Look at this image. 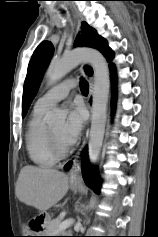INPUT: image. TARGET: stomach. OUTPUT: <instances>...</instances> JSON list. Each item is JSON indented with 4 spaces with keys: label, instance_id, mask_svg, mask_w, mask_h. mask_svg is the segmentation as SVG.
Segmentation results:
<instances>
[{
    "label": "stomach",
    "instance_id": "0dacf381",
    "mask_svg": "<svg viewBox=\"0 0 158 237\" xmlns=\"http://www.w3.org/2000/svg\"><path fill=\"white\" fill-rule=\"evenodd\" d=\"M70 187L72 188V190L76 191L77 188H78V182L71 180L70 181ZM32 233H33L32 234L33 236H43V231L41 229H38L36 231H32Z\"/></svg>",
    "mask_w": 158,
    "mask_h": 237
}]
</instances>
